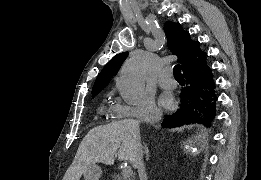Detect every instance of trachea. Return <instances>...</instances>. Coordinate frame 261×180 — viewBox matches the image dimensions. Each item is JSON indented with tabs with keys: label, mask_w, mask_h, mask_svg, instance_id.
<instances>
[{
	"label": "trachea",
	"mask_w": 261,
	"mask_h": 180,
	"mask_svg": "<svg viewBox=\"0 0 261 180\" xmlns=\"http://www.w3.org/2000/svg\"><path fill=\"white\" fill-rule=\"evenodd\" d=\"M173 72H174V78L175 79H183L184 78L182 73H181V66L179 64L175 65Z\"/></svg>",
	"instance_id": "1"
}]
</instances>
